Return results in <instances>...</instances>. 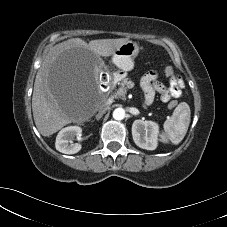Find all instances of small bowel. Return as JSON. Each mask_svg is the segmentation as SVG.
<instances>
[{"label":"small bowel","mask_w":227,"mask_h":227,"mask_svg":"<svg viewBox=\"0 0 227 227\" xmlns=\"http://www.w3.org/2000/svg\"><path fill=\"white\" fill-rule=\"evenodd\" d=\"M141 87L146 104L153 102L156 92L160 94L163 102H168L172 97L178 98L181 96L183 81L179 76H172L169 85L166 86L158 80L157 72L150 71L141 79Z\"/></svg>","instance_id":"1"}]
</instances>
